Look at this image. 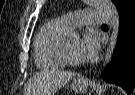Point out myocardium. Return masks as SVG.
Listing matches in <instances>:
<instances>
[{"instance_id":"1","label":"myocardium","mask_w":135,"mask_h":95,"mask_svg":"<svg viewBox=\"0 0 135 95\" xmlns=\"http://www.w3.org/2000/svg\"><path fill=\"white\" fill-rule=\"evenodd\" d=\"M61 55L65 61V63L73 65V66H78L80 64V61L77 59H74L68 52L66 40L63 41L62 46H61Z\"/></svg>"}]
</instances>
